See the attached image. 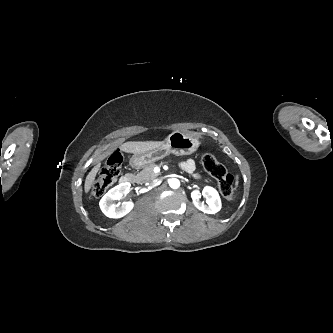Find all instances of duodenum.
<instances>
[{
    "instance_id": "410a0bca",
    "label": "duodenum",
    "mask_w": 333,
    "mask_h": 333,
    "mask_svg": "<svg viewBox=\"0 0 333 333\" xmlns=\"http://www.w3.org/2000/svg\"><path fill=\"white\" fill-rule=\"evenodd\" d=\"M134 180V175L133 174H125L120 178V182L125 184V183H130Z\"/></svg>"
}]
</instances>
